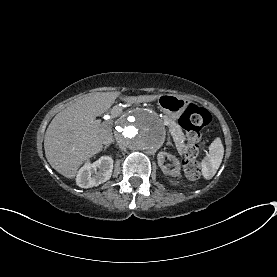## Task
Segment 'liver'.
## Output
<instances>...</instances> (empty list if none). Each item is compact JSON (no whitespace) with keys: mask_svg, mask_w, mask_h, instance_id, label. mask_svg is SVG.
<instances>
[{"mask_svg":"<svg viewBox=\"0 0 277 277\" xmlns=\"http://www.w3.org/2000/svg\"><path fill=\"white\" fill-rule=\"evenodd\" d=\"M120 92H96L85 95L59 112L49 124L44 138L47 161L66 178H74L80 165L113 141L112 122L95 118L107 111ZM157 95L122 98L131 103L154 101Z\"/></svg>","mask_w":277,"mask_h":277,"instance_id":"6515ba94","label":"liver"}]
</instances>
